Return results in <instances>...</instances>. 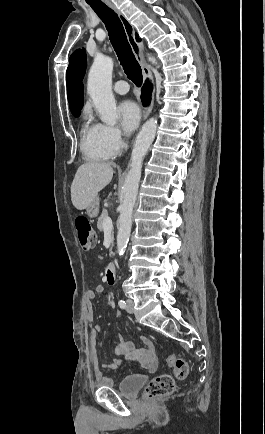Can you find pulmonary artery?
I'll return each instance as SVG.
<instances>
[{"instance_id":"e3ab8cb5","label":"pulmonary artery","mask_w":265,"mask_h":434,"mask_svg":"<svg viewBox=\"0 0 265 434\" xmlns=\"http://www.w3.org/2000/svg\"><path fill=\"white\" fill-rule=\"evenodd\" d=\"M130 81H117L114 85V90L119 94H126L130 90Z\"/></svg>"}]
</instances>
